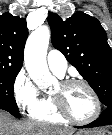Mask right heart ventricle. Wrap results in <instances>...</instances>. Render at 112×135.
Wrapping results in <instances>:
<instances>
[{"mask_svg":"<svg viewBox=\"0 0 112 135\" xmlns=\"http://www.w3.org/2000/svg\"><path fill=\"white\" fill-rule=\"evenodd\" d=\"M31 118L47 123L59 124L63 118L57 113L50 96H46L43 104L30 114Z\"/></svg>","mask_w":112,"mask_h":135,"instance_id":"e07e8e85","label":"right heart ventricle"}]
</instances>
